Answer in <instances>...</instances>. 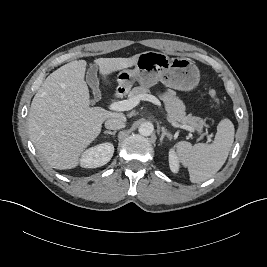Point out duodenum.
<instances>
[{
    "label": "duodenum",
    "instance_id": "duodenum-1",
    "mask_svg": "<svg viewBox=\"0 0 267 267\" xmlns=\"http://www.w3.org/2000/svg\"><path fill=\"white\" fill-rule=\"evenodd\" d=\"M121 93L120 92H117V96H119Z\"/></svg>",
    "mask_w": 267,
    "mask_h": 267
}]
</instances>
